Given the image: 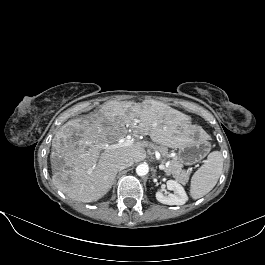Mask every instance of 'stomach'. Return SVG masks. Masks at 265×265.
Wrapping results in <instances>:
<instances>
[{
	"instance_id": "0dacf381",
	"label": "stomach",
	"mask_w": 265,
	"mask_h": 265,
	"mask_svg": "<svg viewBox=\"0 0 265 265\" xmlns=\"http://www.w3.org/2000/svg\"><path fill=\"white\" fill-rule=\"evenodd\" d=\"M209 144L201 139H192L181 146L178 151V159L185 165H192L200 161L207 153Z\"/></svg>"
}]
</instances>
